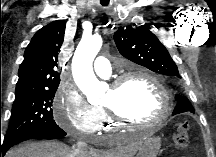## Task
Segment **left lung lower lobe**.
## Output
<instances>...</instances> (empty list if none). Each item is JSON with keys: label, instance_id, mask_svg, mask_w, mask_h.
I'll return each instance as SVG.
<instances>
[{"label": "left lung lower lobe", "instance_id": "1", "mask_svg": "<svg viewBox=\"0 0 216 157\" xmlns=\"http://www.w3.org/2000/svg\"><path fill=\"white\" fill-rule=\"evenodd\" d=\"M186 111H189V107L186 105V103L177 104L174 111H173V115L183 113Z\"/></svg>", "mask_w": 216, "mask_h": 157}]
</instances>
